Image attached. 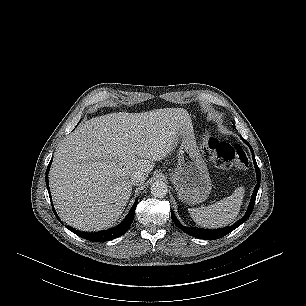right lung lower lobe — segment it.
<instances>
[{"mask_svg": "<svg viewBox=\"0 0 306 306\" xmlns=\"http://www.w3.org/2000/svg\"><path fill=\"white\" fill-rule=\"evenodd\" d=\"M52 159L47 167L46 170V185H47V189L49 192V197L51 200V195H50V189H49V184H48V173H49V169H50V165H51ZM137 202L138 200H136L131 208V210L129 211L128 215L125 217V219L116 227L111 228L109 230H105V231H99V232H95V233H87V232H81L78 230H75L69 226H66L67 229H69L70 231H72L73 233H75L76 235L90 240V241H95V242H102V241H109L112 240L114 238L120 237L122 236L124 233L127 232V230L129 229V227L131 226L133 219H134V213H135V209L137 206ZM53 207V205H52ZM53 212L55 214V216L57 217V219L60 221V219L58 218L54 208H53Z\"/></svg>", "mask_w": 306, "mask_h": 306, "instance_id": "98d812e1", "label": "right lung lower lobe"}]
</instances>
